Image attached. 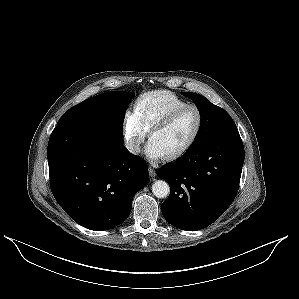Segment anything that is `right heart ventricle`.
I'll return each mask as SVG.
<instances>
[{"mask_svg":"<svg viewBox=\"0 0 299 299\" xmlns=\"http://www.w3.org/2000/svg\"><path fill=\"white\" fill-rule=\"evenodd\" d=\"M185 105H188V102L176 94L157 90L141 95L135 103L134 112L149 130L155 123Z\"/></svg>","mask_w":299,"mask_h":299,"instance_id":"1","label":"right heart ventricle"}]
</instances>
